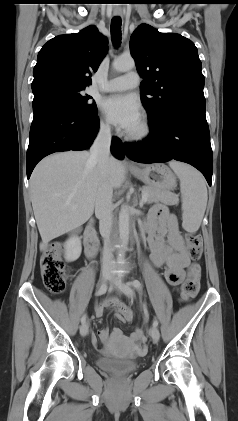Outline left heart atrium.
<instances>
[{
	"label": "left heart atrium",
	"mask_w": 238,
	"mask_h": 421,
	"mask_svg": "<svg viewBox=\"0 0 238 421\" xmlns=\"http://www.w3.org/2000/svg\"><path fill=\"white\" fill-rule=\"evenodd\" d=\"M102 110L115 125L130 132L140 124V105L131 95H113L102 103Z\"/></svg>",
	"instance_id": "1"
}]
</instances>
